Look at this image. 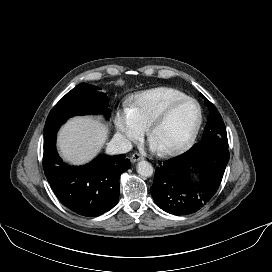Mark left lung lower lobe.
I'll return each mask as SVG.
<instances>
[{"instance_id": "left-lung-lower-lobe-1", "label": "left lung lower lobe", "mask_w": 272, "mask_h": 272, "mask_svg": "<svg viewBox=\"0 0 272 272\" xmlns=\"http://www.w3.org/2000/svg\"><path fill=\"white\" fill-rule=\"evenodd\" d=\"M229 151L212 144H194L184 154L164 161L156 169L151 194L157 205L174 215L192 214L206 205L216 193ZM200 174L191 180V171Z\"/></svg>"}]
</instances>
